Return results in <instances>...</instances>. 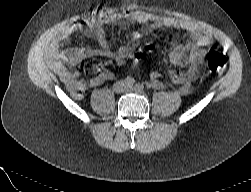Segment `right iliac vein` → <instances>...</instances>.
I'll use <instances>...</instances> for the list:
<instances>
[{"label": "right iliac vein", "instance_id": "63e3f726", "mask_svg": "<svg viewBox=\"0 0 251 192\" xmlns=\"http://www.w3.org/2000/svg\"><path fill=\"white\" fill-rule=\"evenodd\" d=\"M116 88L122 89L124 87V84L122 82H119L115 85Z\"/></svg>", "mask_w": 251, "mask_h": 192}]
</instances>
